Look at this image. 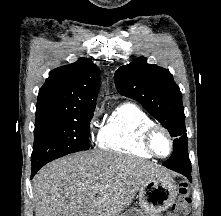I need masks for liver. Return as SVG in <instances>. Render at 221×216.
Instances as JSON below:
<instances>
[{"instance_id":"1","label":"liver","mask_w":221,"mask_h":216,"mask_svg":"<svg viewBox=\"0 0 221 216\" xmlns=\"http://www.w3.org/2000/svg\"><path fill=\"white\" fill-rule=\"evenodd\" d=\"M163 167L103 151L79 152L50 162L34 177L36 216H120L140 187L168 177Z\"/></svg>"}]
</instances>
